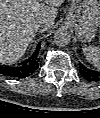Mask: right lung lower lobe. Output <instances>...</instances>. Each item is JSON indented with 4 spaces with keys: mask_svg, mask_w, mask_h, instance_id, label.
I'll return each mask as SVG.
<instances>
[{
    "mask_svg": "<svg viewBox=\"0 0 100 118\" xmlns=\"http://www.w3.org/2000/svg\"><path fill=\"white\" fill-rule=\"evenodd\" d=\"M40 49V44L37 46L33 55L22 63L20 67H1L0 72L10 77L24 78L31 75L39 67L36 61V55Z\"/></svg>",
    "mask_w": 100,
    "mask_h": 118,
    "instance_id": "1",
    "label": "right lung lower lobe"
}]
</instances>
